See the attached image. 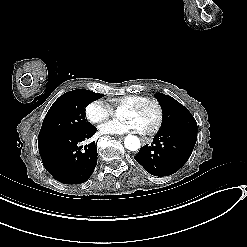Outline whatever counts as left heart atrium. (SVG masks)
I'll return each instance as SVG.
<instances>
[{"label":"left heart atrium","mask_w":247,"mask_h":247,"mask_svg":"<svg viewBox=\"0 0 247 247\" xmlns=\"http://www.w3.org/2000/svg\"><path fill=\"white\" fill-rule=\"evenodd\" d=\"M142 128L138 120L130 119L125 122H109L100 127L102 134H124L129 132H141Z\"/></svg>","instance_id":"obj_1"}]
</instances>
